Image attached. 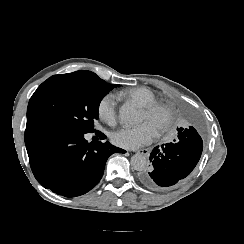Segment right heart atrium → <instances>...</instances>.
<instances>
[{
    "label": "right heart atrium",
    "instance_id": "right-heart-atrium-1",
    "mask_svg": "<svg viewBox=\"0 0 244 244\" xmlns=\"http://www.w3.org/2000/svg\"><path fill=\"white\" fill-rule=\"evenodd\" d=\"M117 96L113 92L106 93L99 101L98 115L108 125L116 123Z\"/></svg>",
    "mask_w": 244,
    "mask_h": 244
}]
</instances>
